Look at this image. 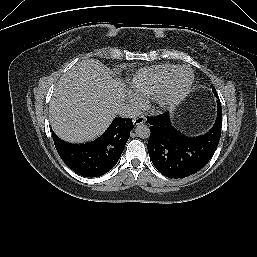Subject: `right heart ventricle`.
<instances>
[{"label": "right heart ventricle", "instance_id": "right-heart-ventricle-1", "mask_svg": "<svg viewBox=\"0 0 257 257\" xmlns=\"http://www.w3.org/2000/svg\"><path fill=\"white\" fill-rule=\"evenodd\" d=\"M174 68L176 66L172 64H159L142 68L130 80V87L140 99H151L165 76Z\"/></svg>", "mask_w": 257, "mask_h": 257}]
</instances>
